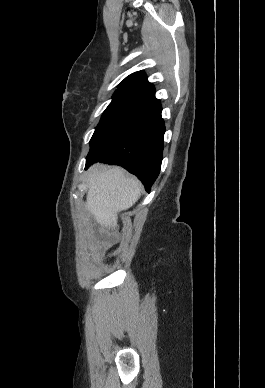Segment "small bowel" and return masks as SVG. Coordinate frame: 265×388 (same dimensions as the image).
I'll return each mask as SVG.
<instances>
[{
    "mask_svg": "<svg viewBox=\"0 0 265 388\" xmlns=\"http://www.w3.org/2000/svg\"><path fill=\"white\" fill-rule=\"evenodd\" d=\"M96 252L100 253L102 252V249H96Z\"/></svg>",
    "mask_w": 265,
    "mask_h": 388,
    "instance_id": "1",
    "label": "small bowel"
}]
</instances>
